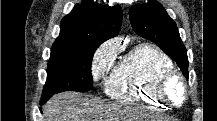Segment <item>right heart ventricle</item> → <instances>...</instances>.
<instances>
[{"instance_id": "right-heart-ventricle-1", "label": "right heart ventricle", "mask_w": 217, "mask_h": 121, "mask_svg": "<svg viewBox=\"0 0 217 121\" xmlns=\"http://www.w3.org/2000/svg\"><path fill=\"white\" fill-rule=\"evenodd\" d=\"M172 70L171 59L150 43L132 48L114 67L105 82V91L116 101L163 110L168 103L159 95L157 82Z\"/></svg>"}]
</instances>
